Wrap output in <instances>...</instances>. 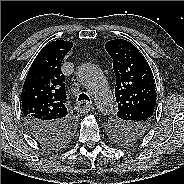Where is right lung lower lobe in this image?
Wrapping results in <instances>:
<instances>
[{
	"mask_svg": "<svg viewBox=\"0 0 184 184\" xmlns=\"http://www.w3.org/2000/svg\"><path fill=\"white\" fill-rule=\"evenodd\" d=\"M25 122L32 137L46 146L60 143L74 128V121L70 118L60 122H49L35 117H26Z\"/></svg>",
	"mask_w": 184,
	"mask_h": 184,
	"instance_id": "obj_1",
	"label": "right lung lower lobe"
}]
</instances>
